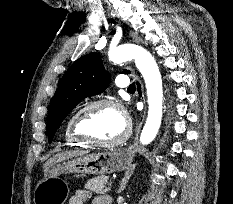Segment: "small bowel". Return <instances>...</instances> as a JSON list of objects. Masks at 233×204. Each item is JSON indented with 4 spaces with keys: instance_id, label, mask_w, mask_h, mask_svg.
<instances>
[{
    "instance_id": "small-bowel-1",
    "label": "small bowel",
    "mask_w": 233,
    "mask_h": 204,
    "mask_svg": "<svg viewBox=\"0 0 233 204\" xmlns=\"http://www.w3.org/2000/svg\"><path fill=\"white\" fill-rule=\"evenodd\" d=\"M89 198V191L79 189L71 196L69 204H85ZM92 204H110V201L108 197L98 196L93 199Z\"/></svg>"
}]
</instances>
